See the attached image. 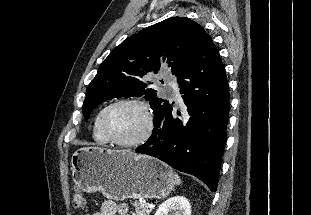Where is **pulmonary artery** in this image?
I'll list each match as a JSON object with an SVG mask.
<instances>
[{
  "label": "pulmonary artery",
  "instance_id": "obj_1",
  "mask_svg": "<svg viewBox=\"0 0 311 215\" xmlns=\"http://www.w3.org/2000/svg\"><path fill=\"white\" fill-rule=\"evenodd\" d=\"M167 84H168L169 89L172 93V96L177 98V99H180L181 93H180V87H179L178 83L175 80L169 79L167 81Z\"/></svg>",
  "mask_w": 311,
  "mask_h": 215
}]
</instances>
